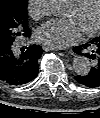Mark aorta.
I'll return each mask as SVG.
<instances>
[{"label": "aorta", "mask_w": 100, "mask_h": 118, "mask_svg": "<svg viewBox=\"0 0 100 118\" xmlns=\"http://www.w3.org/2000/svg\"><path fill=\"white\" fill-rule=\"evenodd\" d=\"M48 10L55 16H62L67 11L64 0H49ZM91 69L90 61L85 56H76L73 60V70L78 75H87Z\"/></svg>", "instance_id": "obj_1"}]
</instances>
